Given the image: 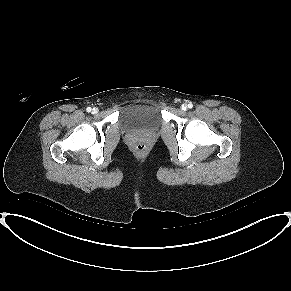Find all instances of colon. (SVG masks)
<instances>
[{
    "label": "colon",
    "instance_id": "colon-1",
    "mask_svg": "<svg viewBox=\"0 0 291 291\" xmlns=\"http://www.w3.org/2000/svg\"><path fill=\"white\" fill-rule=\"evenodd\" d=\"M134 151L136 154L138 155H143L146 153L147 151V146L144 144V143H137L135 146H134Z\"/></svg>",
    "mask_w": 291,
    "mask_h": 291
}]
</instances>
